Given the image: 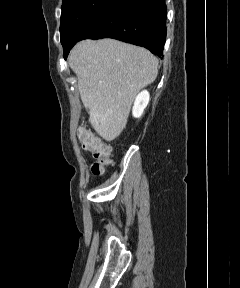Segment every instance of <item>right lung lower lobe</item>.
Listing matches in <instances>:
<instances>
[{
  "label": "right lung lower lobe",
  "instance_id": "right-lung-lower-lobe-1",
  "mask_svg": "<svg viewBox=\"0 0 240 288\" xmlns=\"http://www.w3.org/2000/svg\"><path fill=\"white\" fill-rule=\"evenodd\" d=\"M166 14L165 0H115L80 40L109 37L161 56L166 40ZM73 46L64 49L65 59Z\"/></svg>",
  "mask_w": 240,
  "mask_h": 288
}]
</instances>
